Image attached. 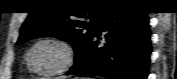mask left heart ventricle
Segmentation results:
<instances>
[{
	"instance_id": "b2bd125f",
	"label": "left heart ventricle",
	"mask_w": 177,
	"mask_h": 79,
	"mask_svg": "<svg viewBox=\"0 0 177 79\" xmlns=\"http://www.w3.org/2000/svg\"><path fill=\"white\" fill-rule=\"evenodd\" d=\"M31 59L34 67L38 70L50 71L61 64L63 51L56 44L44 43L34 49Z\"/></svg>"
}]
</instances>
